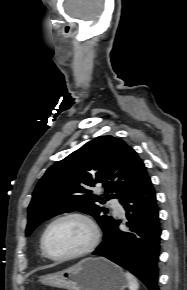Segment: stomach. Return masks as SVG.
Wrapping results in <instances>:
<instances>
[{
    "mask_svg": "<svg viewBox=\"0 0 187 290\" xmlns=\"http://www.w3.org/2000/svg\"><path fill=\"white\" fill-rule=\"evenodd\" d=\"M39 281L66 290H125L128 286L122 269L103 257L83 259L65 270L40 276Z\"/></svg>",
    "mask_w": 187,
    "mask_h": 290,
    "instance_id": "obj_1",
    "label": "stomach"
}]
</instances>
